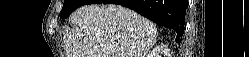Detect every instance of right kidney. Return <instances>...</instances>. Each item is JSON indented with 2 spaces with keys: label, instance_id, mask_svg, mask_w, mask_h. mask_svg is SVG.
I'll return each mask as SVG.
<instances>
[{
  "label": "right kidney",
  "instance_id": "ca27d5eb",
  "mask_svg": "<svg viewBox=\"0 0 249 57\" xmlns=\"http://www.w3.org/2000/svg\"><path fill=\"white\" fill-rule=\"evenodd\" d=\"M155 56H156V57H158V56H159V52H158V51L155 53Z\"/></svg>",
  "mask_w": 249,
  "mask_h": 57
}]
</instances>
